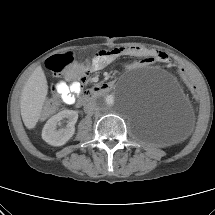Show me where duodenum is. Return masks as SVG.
<instances>
[{"instance_id":"duodenum-1","label":"duodenum","mask_w":215,"mask_h":215,"mask_svg":"<svg viewBox=\"0 0 215 215\" xmlns=\"http://www.w3.org/2000/svg\"><path fill=\"white\" fill-rule=\"evenodd\" d=\"M113 88L114 83L111 81L98 83L83 93V95L78 99L77 105H87L94 101L97 97L109 93Z\"/></svg>"}]
</instances>
